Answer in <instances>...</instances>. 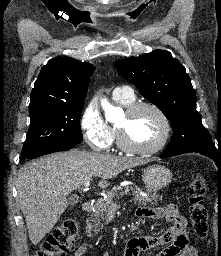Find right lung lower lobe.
Wrapping results in <instances>:
<instances>
[{"instance_id": "1", "label": "right lung lower lobe", "mask_w": 221, "mask_h": 256, "mask_svg": "<svg viewBox=\"0 0 221 256\" xmlns=\"http://www.w3.org/2000/svg\"><path fill=\"white\" fill-rule=\"evenodd\" d=\"M74 145H75V143H58L55 145L45 147V148L41 149L40 151H38L37 153L32 154L28 158H25V159H30V158L33 159V158H36V157H39V156H42L45 154L68 150V149L73 148Z\"/></svg>"}]
</instances>
